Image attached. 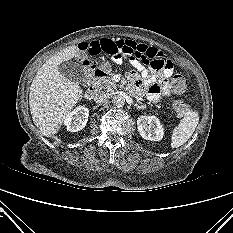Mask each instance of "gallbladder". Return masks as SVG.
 I'll use <instances>...</instances> for the list:
<instances>
[{
	"instance_id": "gallbladder-1",
	"label": "gallbladder",
	"mask_w": 233,
	"mask_h": 233,
	"mask_svg": "<svg viewBox=\"0 0 233 233\" xmlns=\"http://www.w3.org/2000/svg\"><path fill=\"white\" fill-rule=\"evenodd\" d=\"M58 71L68 80L75 83H81L85 77V71L82 66L73 61H64L58 65Z\"/></svg>"
}]
</instances>
